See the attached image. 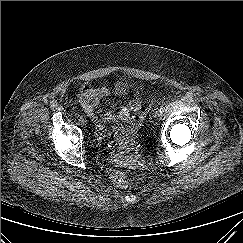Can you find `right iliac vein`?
Here are the masks:
<instances>
[{
	"mask_svg": "<svg viewBox=\"0 0 243 243\" xmlns=\"http://www.w3.org/2000/svg\"><path fill=\"white\" fill-rule=\"evenodd\" d=\"M79 121H80L82 124H86V123H87V120H86L84 117H80V118H79Z\"/></svg>",
	"mask_w": 243,
	"mask_h": 243,
	"instance_id": "1",
	"label": "right iliac vein"
}]
</instances>
